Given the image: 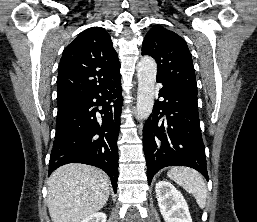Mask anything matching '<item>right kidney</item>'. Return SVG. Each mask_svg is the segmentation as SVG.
Listing matches in <instances>:
<instances>
[{"label":"right kidney","mask_w":257,"mask_h":222,"mask_svg":"<svg viewBox=\"0 0 257 222\" xmlns=\"http://www.w3.org/2000/svg\"><path fill=\"white\" fill-rule=\"evenodd\" d=\"M107 216L103 212H97L89 215L81 222H106Z\"/></svg>","instance_id":"1"}]
</instances>
